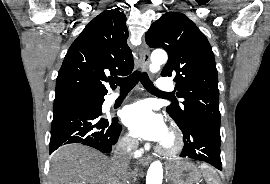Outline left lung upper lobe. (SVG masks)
<instances>
[{
	"label": "left lung upper lobe",
	"instance_id": "5c2ea615",
	"mask_svg": "<svg viewBox=\"0 0 270 184\" xmlns=\"http://www.w3.org/2000/svg\"><path fill=\"white\" fill-rule=\"evenodd\" d=\"M151 48H163L169 58L161 76H173L182 106L167 107L180 128L201 121L220 126L218 75L205 35L182 13L167 12L145 35Z\"/></svg>",
	"mask_w": 270,
	"mask_h": 184
}]
</instances>
